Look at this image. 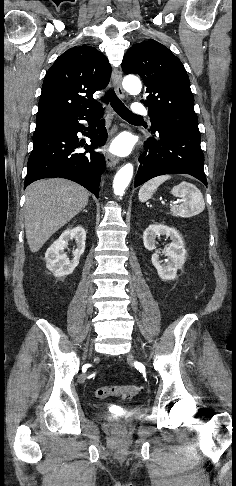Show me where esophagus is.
Segmentation results:
<instances>
[{"label":"esophagus","instance_id":"obj_1","mask_svg":"<svg viewBox=\"0 0 236 486\" xmlns=\"http://www.w3.org/2000/svg\"><path fill=\"white\" fill-rule=\"evenodd\" d=\"M112 80H113L117 95L121 98H124L125 94H124V90H123V87H122V72H121L120 68L113 69ZM105 160H106V164L109 168L116 166L119 162V159L116 156H114L110 153L106 154Z\"/></svg>","mask_w":236,"mask_h":486}]
</instances>
